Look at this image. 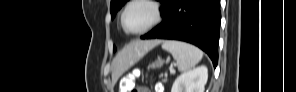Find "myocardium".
Returning a JSON list of instances; mask_svg holds the SVG:
<instances>
[{
  "mask_svg": "<svg viewBox=\"0 0 296 92\" xmlns=\"http://www.w3.org/2000/svg\"><path fill=\"white\" fill-rule=\"evenodd\" d=\"M137 3L147 4L148 6H150L152 8L153 20L151 21L150 24H148L146 27H144L141 30L130 31L125 26L124 18H125V14H126L127 10L129 9V7L132 6L133 4H137ZM161 18H162V12H161V8L157 2L152 1V0H132V1L128 2V4L123 9V11L121 13V17H120V22H121L122 29L124 30L125 33H127L129 35H141V34L148 32L149 30L153 29L156 25H158V23L161 21Z\"/></svg>",
  "mask_w": 296,
  "mask_h": 92,
  "instance_id": "obj_1",
  "label": "myocardium"
}]
</instances>
